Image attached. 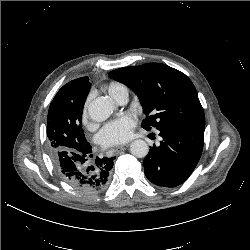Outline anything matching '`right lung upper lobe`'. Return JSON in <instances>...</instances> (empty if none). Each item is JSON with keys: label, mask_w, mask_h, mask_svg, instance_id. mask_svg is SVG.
Masks as SVG:
<instances>
[{"label": "right lung upper lobe", "mask_w": 250, "mask_h": 250, "mask_svg": "<svg viewBox=\"0 0 250 250\" xmlns=\"http://www.w3.org/2000/svg\"><path fill=\"white\" fill-rule=\"evenodd\" d=\"M88 77H81L75 80L70 81L64 85L57 93L58 96H62L67 101L72 104H76L80 100L87 97L90 90L89 86L91 84L88 82Z\"/></svg>", "instance_id": "right-lung-upper-lobe-1"}]
</instances>
